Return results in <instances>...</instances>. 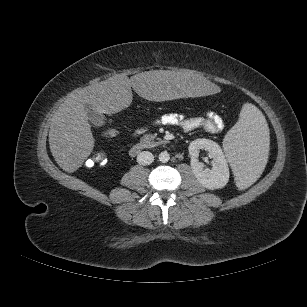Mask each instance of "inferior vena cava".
I'll list each match as a JSON object with an SVG mask.
<instances>
[{
  "instance_id": "inferior-vena-cava-1",
  "label": "inferior vena cava",
  "mask_w": 307,
  "mask_h": 307,
  "mask_svg": "<svg viewBox=\"0 0 307 307\" xmlns=\"http://www.w3.org/2000/svg\"><path fill=\"white\" fill-rule=\"evenodd\" d=\"M154 161V156L151 152L142 151L137 155V162L140 165H149Z\"/></svg>"
}]
</instances>
